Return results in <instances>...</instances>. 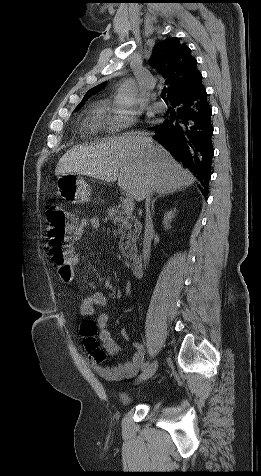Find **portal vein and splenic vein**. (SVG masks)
I'll list each match as a JSON object with an SVG mask.
<instances>
[{
    "instance_id": "1",
    "label": "portal vein and splenic vein",
    "mask_w": 261,
    "mask_h": 476,
    "mask_svg": "<svg viewBox=\"0 0 261 476\" xmlns=\"http://www.w3.org/2000/svg\"><path fill=\"white\" fill-rule=\"evenodd\" d=\"M122 209H123L126 213H132V211L134 210V202H133V198H132V197L127 196L126 198L123 199V201H122Z\"/></svg>"
}]
</instances>
